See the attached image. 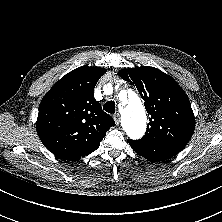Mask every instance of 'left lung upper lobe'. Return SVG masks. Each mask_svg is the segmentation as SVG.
Listing matches in <instances>:
<instances>
[{"label":"left lung upper lobe","instance_id":"left-lung-upper-lobe-1","mask_svg":"<svg viewBox=\"0 0 222 222\" xmlns=\"http://www.w3.org/2000/svg\"><path fill=\"white\" fill-rule=\"evenodd\" d=\"M118 75L138 89L150 115L140 141L182 145L189 142L195 117L187 95L173 78L149 66L122 69Z\"/></svg>","mask_w":222,"mask_h":222}]
</instances>
